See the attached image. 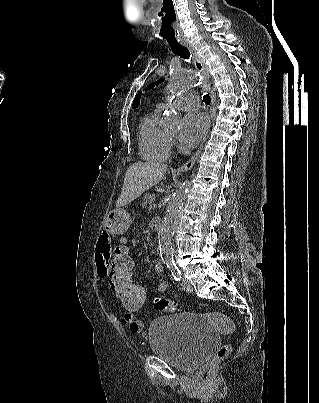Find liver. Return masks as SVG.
Wrapping results in <instances>:
<instances>
[{
	"mask_svg": "<svg viewBox=\"0 0 319 403\" xmlns=\"http://www.w3.org/2000/svg\"><path fill=\"white\" fill-rule=\"evenodd\" d=\"M167 171V166L154 162H136L126 171L122 192L116 203L121 208L155 184L159 183Z\"/></svg>",
	"mask_w": 319,
	"mask_h": 403,
	"instance_id": "6515ba94",
	"label": "liver"
}]
</instances>
